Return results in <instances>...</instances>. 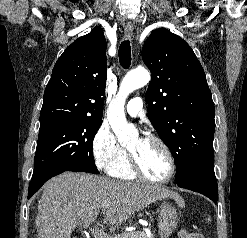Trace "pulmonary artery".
<instances>
[{
	"mask_svg": "<svg viewBox=\"0 0 247 238\" xmlns=\"http://www.w3.org/2000/svg\"><path fill=\"white\" fill-rule=\"evenodd\" d=\"M143 107V101L140 97H135L131 99L126 105V112L132 116L136 117L141 111Z\"/></svg>",
	"mask_w": 247,
	"mask_h": 238,
	"instance_id": "pulmonary-artery-1",
	"label": "pulmonary artery"
}]
</instances>
